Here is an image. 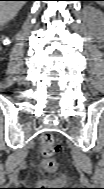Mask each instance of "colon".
Here are the masks:
<instances>
[{"label": "colon", "instance_id": "5ec220e1", "mask_svg": "<svg viewBox=\"0 0 104 189\" xmlns=\"http://www.w3.org/2000/svg\"><path fill=\"white\" fill-rule=\"evenodd\" d=\"M60 151V147L56 144L53 136L46 134L41 138L40 155L47 172H53L57 163L55 155Z\"/></svg>", "mask_w": 104, "mask_h": 189}]
</instances>
